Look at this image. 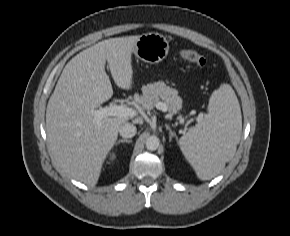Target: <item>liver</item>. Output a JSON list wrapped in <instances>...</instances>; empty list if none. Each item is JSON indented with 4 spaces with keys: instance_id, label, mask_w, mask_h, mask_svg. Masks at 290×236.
I'll list each match as a JSON object with an SVG mask.
<instances>
[{
    "instance_id": "1",
    "label": "liver",
    "mask_w": 290,
    "mask_h": 236,
    "mask_svg": "<svg viewBox=\"0 0 290 236\" xmlns=\"http://www.w3.org/2000/svg\"><path fill=\"white\" fill-rule=\"evenodd\" d=\"M139 37L110 38L74 56L48 101L46 132L52 155L66 174L87 185L97 184L119 128L128 121L115 116L97 123L91 114L113 95L106 61L115 84L131 89L132 53Z\"/></svg>"
}]
</instances>
